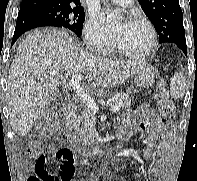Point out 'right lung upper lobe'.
I'll use <instances>...</instances> for the list:
<instances>
[{
	"label": "right lung upper lobe",
	"mask_w": 197,
	"mask_h": 181,
	"mask_svg": "<svg viewBox=\"0 0 197 181\" xmlns=\"http://www.w3.org/2000/svg\"><path fill=\"white\" fill-rule=\"evenodd\" d=\"M37 4L79 7L80 0H23L20 9L27 10V8Z\"/></svg>",
	"instance_id": "obj_1"
}]
</instances>
